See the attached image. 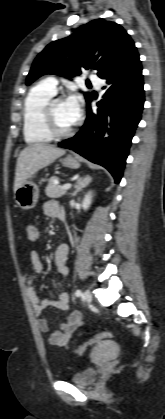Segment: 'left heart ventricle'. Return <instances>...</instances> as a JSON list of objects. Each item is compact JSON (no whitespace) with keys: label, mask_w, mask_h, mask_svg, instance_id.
Listing matches in <instances>:
<instances>
[{"label":"left heart ventricle","mask_w":165,"mask_h":419,"mask_svg":"<svg viewBox=\"0 0 165 419\" xmlns=\"http://www.w3.org/2000/svg\"><path fill=\"white\" fill-rule=\"evenodd\" d=\"M54 116L57 123V126L61 130H67L71 128L75 122H73L66 111L64 101L60 100L54 104Z\"/></svg>","instance_id":"1"}]
</instances>
